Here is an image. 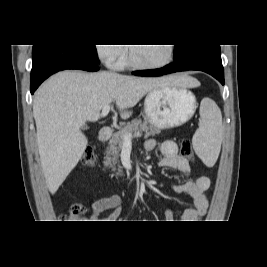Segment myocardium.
I'll list each match as a JSON object with an SVG mask.
<instances>
[{
  "mask_svg": "<svg viewBox=\"0 0 267 267\" xmlns=\"http://www.w3.org/2000/svg\"><path fill=\"white\" fill-rule=\"evenodd\" d=\"M167 45H168L169 54H168L167 59L165 61H163L162 63L143 64V63L137 62L133 56L131 46H128V48H127L126 61L130 66L137 68V69H142V70H156V69L166 67L167 65H169L173 61V58H174V46L172 44H167Z\"/></svg>",
  "mask_w": 267,
  "mask_h": 267,
  "instance_id": "1",
  "label": "myocardium"
}]
</instances>
